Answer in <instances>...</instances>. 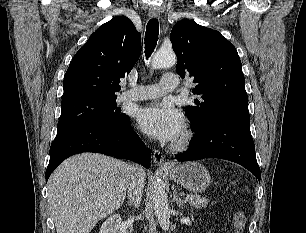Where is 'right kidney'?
<instances>
[{
	"mask_svg": "<svg viewBox=\"0 0 306 233\" xmlns=\"http://www.w3.org/2000/svg\"><path fill=\"white\" fill-rule=\"evenodd\" d=\"M120 226L121 218L118 214H114L102 224L99 233H120Z\"/></svg>",
	"mask_w": 306,
	"mask_h": 233,
	"instance_id": "ca27d5eb",
	"label": "right kidney"
}]
</instances>
